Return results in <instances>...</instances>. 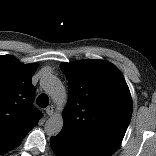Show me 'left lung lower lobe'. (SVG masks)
Wrapping results in <instances>:
<instances>
[{
    "label": "left lung lower lobe",
    "mask_w": 156,
    "mask_h": 156,
    "mask_svg": "<svg viewBox=\"0 0 156 156\" xmlns=\"http://www.w3.org/2000/svg\"><path fill=\"white\" fill-rule=\"evenodd\" d=\"M57 156H111L113 153L91 143L75 139L63 132L50 139Z\"/></svg>",
    "instance_id": "left-lung-lower-lobe-1"
}]
</instances>
